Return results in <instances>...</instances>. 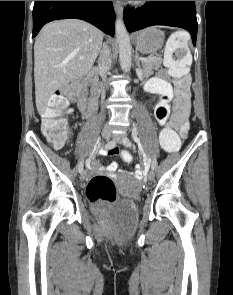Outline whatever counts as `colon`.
I'll list each match as a JSON object with an SVG mask.
<instances>
[{
	"mask_svg": "<svg viewBox=\"0 0 233 295\" xmlns=\"http://www.w3.org/2000/svg\"><path fill=\"white\" fill-rule=\"evenodd\" d=\"M188 44L189 39L186 34L174 33L166 47L165 65L178 92L187 91L190 86L188 67L191 62V54ZM81 89L82 83L80 81L69 83L50 98L48 106L43 112L42 131L48 142L54 147L63 146L70 136L68 121L62 118V115L68 109L67 97L78 95ZM180 144L181 137L172 128H164L161 131L160 145L165 151L174 153L179 150ZM121 158L126 164L133 161V157L128 151H122ZM86 194L94 205L104 207L116 200L117 190L111 178L95 175L87 184Z\"/></svg>",
	"mask_w": 233,
	"mask_h": 295,
	"instance_id": "colon-1",
	"label": "colon"
}]
</instances>
